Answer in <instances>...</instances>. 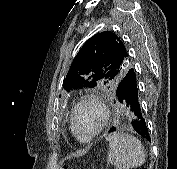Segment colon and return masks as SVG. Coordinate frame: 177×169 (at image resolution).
Listing matches in <instances>:
<instances>
[{"label": "colon", "mask_w": 177, "mask_h": 169, "mask_svg": "<svg viewBox=\"0 0 177 169\" xmlns=\"http://www.w3.org/2000/svg\"><path fill=\"white\" fill-rule=\"evenodd\" d=\"M62 169H67L66 167H62Z\"/></svg>", "instance_id": "obj_1"}]
</instances>
